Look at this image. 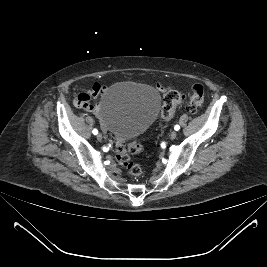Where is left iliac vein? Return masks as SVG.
<instances>
[{"label":"left iliac vein","instance_id":"1","mask_svg":"<svg viewBox=\"0 0 267 267\" xmlns=\"http://www.w3.org/2000/svg\"><path fill=\"white\" fill-rule=\"evenodd\" d=\"M176 137H177V132L176 131L171 132L170 139L174 140Z\"/></svg>","mask_w":267,"mask_h":267}]
</instances>
